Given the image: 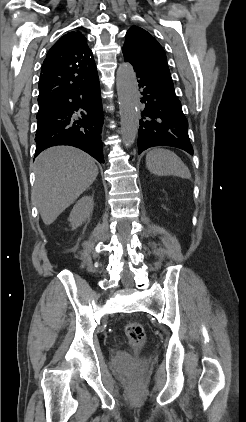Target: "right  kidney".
Segmentation results:
<instances>
[{"label":"right kidney","instance_id":"1","mask_svg":"<svg viewBox=\"0 0 246 422\" xmlns=\"http://www.w3.org/2000/svg\"><path fill=\"white\" fill-rule=\"evenodd\" d=\"M93 208V196H84L80 200H78L74 205L68 219L72 226V229H76L77 227L81 226L84 222H86L90 218Z\"/></svg>","mask_w":246,"mask_h":422}]
</instances>
